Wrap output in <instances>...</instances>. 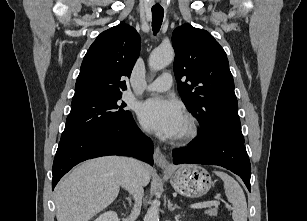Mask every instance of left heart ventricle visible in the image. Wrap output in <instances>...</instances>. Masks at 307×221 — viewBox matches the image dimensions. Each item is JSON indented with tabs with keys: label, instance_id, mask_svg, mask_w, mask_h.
Returning a JSON list of instances; mask_svg holds the SVG:
<instances>
[{
	"label": "left heart ventricle",
	"instance_id": "left-heart-ventricle-1",
	"mask_svg": "<svg viewBox=\"0 0 307 221\" xmlns=\"http://www.w3.org/2000/svg\"><path fill=\"white\" fill-rule=\"evenodd\" d=\"M185 129H186V122L184 120V123H183V126H182L180 134L183 133L185 131Z\"/></svg>",
	"mask_w": 307,
	"mask_h": 221
}]
</instances>
